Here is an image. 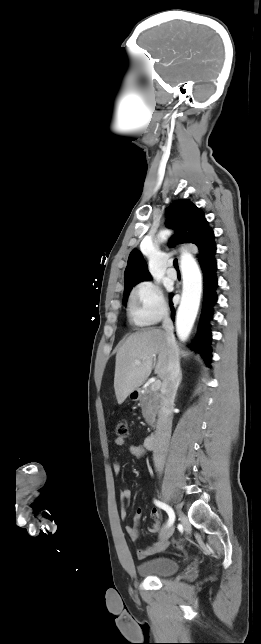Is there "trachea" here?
<instances>
[{
    "mask_svg": "<svg viewBox=\"0 0 261 644\" xmlns=\"http://www.w3.org/2000/svg\"><path fill=\"white\" fill-rule=\"evenodd\" d=\"M174 267H175L176 269H178V268H179V267H178V260H177V259H175V260H174Z\"/></svg>",
    "mask_w": 261,
    "mask_h": 644,
    "instance_id": "1",
    "label": "trachea"
}]
</instances>
